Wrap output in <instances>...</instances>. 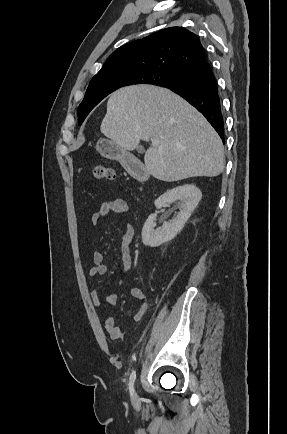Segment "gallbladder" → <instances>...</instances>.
<instances>
[{
	"label": "gallbladder",
	"mask_w": 287,
	"mask_h": 434,
	"mask_svg": "<svg viewBox=\"0 0 287 434\" xmlns=\"http://www.w3.org/2000/svg\"><path fill=\"white\" fill-rule=\"evenodd\" d=\"M138 150H139V151H143V148L140 147Z\"/></svg>",
	"instance_id": "bac80fb5"
}]
</instances>
